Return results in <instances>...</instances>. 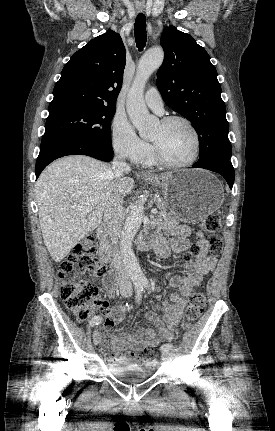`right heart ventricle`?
<instances>
[{
    "label": "right heart ventricle",
    "mask_w": 275,
    "mask_h": 431,
    "mask_svg": "<svg viewBox=\"0 0 275 431\" xmlns=\"http://www.w3.org/2000/svg\"><path fill=\"white\" fill-rule=\"evenodd\" d=\"M141 161L147 166H150L154 163V161L151 158V155H149V154Z\"/></svg>",
    "instance_id": "1"
}]
</instances>
